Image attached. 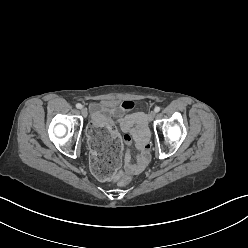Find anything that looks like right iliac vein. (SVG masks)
I'll return each instance as SVG.
<instances>
[{"mask_svg": "<svg viewBox=\"0 0 248 248\" xmlns=\"http://www.w3.org/2000/svg\"><path fill=\"white\" fill-rule=\"evenodd\" d=\"M81 113H82V115H83L84 117H86L87 114H88L87 109H86V108H82V109H81Z\"/></svg>", "mask_w": 248, "mask_h": 248, "instance_id": "obj_1", "label": "right iliac vein"}]
</instances>
